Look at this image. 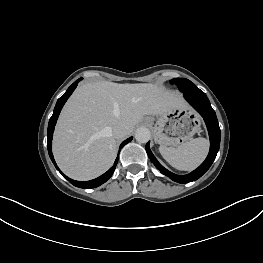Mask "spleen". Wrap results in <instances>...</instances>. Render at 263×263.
<instances>
[{"instance_id":"spleen-1","label":"spleen","mask_w":263,"mask_h":263,"mask_svg":"<svg viewBox=\"0 0 263 263\" xmlns=\"http://www.w3.org/2000/svg\"><path fill=\"white\" fill-rule=\"evenodd\" d=\"M209 142L205 138H195L177 147L161 145L159 151L163 158L174 168L191 171L197 168L206 158Z\"/></svg>"}]
</instances>
